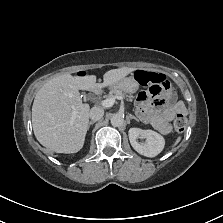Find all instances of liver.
<instances>
[{
    "label": "liver",
    "mask_w": 223,
    "mask_h": 223,
    "mask_svg": "<svg viewBox=\"0 0 223 223\" xmlns=\"http://www.w3.org/2000/svg\"><path fill=\"white\" fill-rule=\"evenodd\" d=\"M136 68L122 67L107 71L103 83L95 75L73 77L63 74L45 83L37 92L32 106V125L37 140L57 153H76L84 145L90 107L83 104L79 90L100 91L113 86ZM72 107L77 112L70 123Z\"/></svg>",
    "instance_id": "obj_1"
}]
</instances>
